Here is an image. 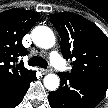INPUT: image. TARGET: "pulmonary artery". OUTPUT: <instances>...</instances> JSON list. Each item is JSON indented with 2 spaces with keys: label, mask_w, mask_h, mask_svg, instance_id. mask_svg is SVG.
<instances>
[{
  "label": "pulmonary artery",
  "mask_w": 108,
  "mask_h": 108,
  "mask_svg": "<svg viewBox=\"0 0 108 108\" xmlns=\"http://www.w3.org/2000/svg\"><path fill=\"white\" fill-rule=\"evenodd\" d=\"M50 60L59 70H65V63L56 51L51 52Z\"/></svg>",
  "instance_id": "pulmonary-artery-1"
}]
</instances>
